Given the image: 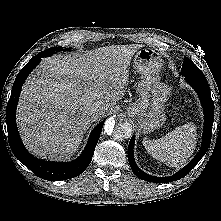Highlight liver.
I'll return each instance as SVG.
<instances>
[{"label": "liver", "mask_w": 221, "mask_h": 221, "mask_svg": "<svg viewBox=\"0 0 221 221\" xmlns=\"http://www.w3.org/2000/svg\"><path fill=\"white\" fill-rule=\"evenodd\" d=\"M141 47L110 45L43 60L26 80L18 103L17 124L26 148L42 159L72 157L91 124L125 95L131 59Z\"/></svg>", "instance_id": "liver-1"}]
</instances>
